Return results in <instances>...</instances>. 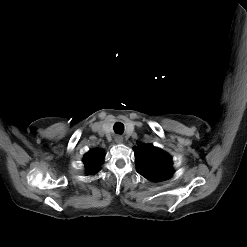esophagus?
<instances>
[{
  "label": "esophagus",
  "mask_w": 247,
  "mask_h": 247,
  "mask_svg": "<svg viewBox=\"0 0 247 247\" xmlns=\"http://www.w3.org/2000/svg\"><path fill=\"white\" fill-rule=\"evenodd\" d=\"M115 141H116L117 143H122V142H123V138H122L121 136H117V137L115 138Z\"/></svg>",
  "instance_id": "esophagus-1"
}]
</instances>
